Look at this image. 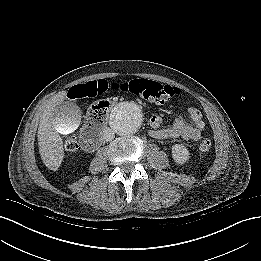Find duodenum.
I'll return each instance as SVG.
<instances>
[{
    "label": "duodenum",
    "instance_id": "1",
    "mask_svg": "<svg viewBox=\"0 0 261 261\" xmlns=\"http://www.w3.org/2000/svg\"><path fill=\"white\" fill-rule=\"evenodd\" d=\"M81 139L84 148L90 152L97 149L102 142V136L96 134L92 129H86L83 132Z\"/></svg>",
    "mask_w": 261,
    "mask_h": 261
}]
</instances>
